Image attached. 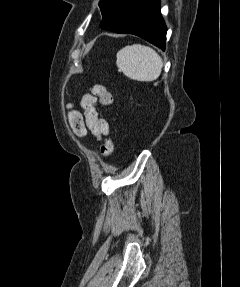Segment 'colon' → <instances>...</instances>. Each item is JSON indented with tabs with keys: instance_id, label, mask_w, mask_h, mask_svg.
<instances>
[{
	"instance_id": "5ec220e1",
	"label": "colon",
	"mask_w": 240,
	"mask_h": 287,
	"mask_svg": "<svg viewBox=\"0 0 240 287\" xmlns=\"http://www.w3.org/2000/svg\"><path fill=\"white\" fill-rule=\"evenodd\" d=\"M91 92L103 105H111L114 101L113 94L102 84H94ZM68 119L73 133L78 137H83L86 130L81 114L78 111L72 110L69 112ZM113 150L114 143L111 138L107 137L101 146V155L108 157L112 154Z\"/></svg>"
}]
</instances>
